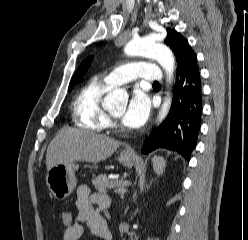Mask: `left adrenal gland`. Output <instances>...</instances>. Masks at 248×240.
I'll list each match as a JSON object with an SVG mask.
<instances>
[{"label":"left adrenal gland","mask_w":248,"mask_h":240,"mask_svg":"<svg viewBox=\"0 0 248 240\" xmlns=\"http://www.w3.org/2000/svg\"><path fill=\"white\" fill-rule=\"evenodd\" d=\"M147 189H148V186H147ZM134 197L136 198V193H135Z\"/></svg>","instance_id":"left-adrenal-gland-1"}]
</instances>
